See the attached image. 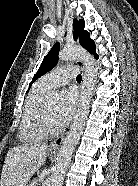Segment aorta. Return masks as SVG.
<instances>
[{
    "mask_svg": "<svg viewBox=\"0 0 138 186\" xmlns=\"http://www.w3.org/2000/svg\"><path fill=\"white\" fill-rule=\"evenodd\" d=\"M59 60H81L84 64L85 73L81 86L77 113L59 151L55 169L51 175V186H62L66 170L72 157V153L86 124L98 75V67L94 57H92L86 50L81 47H65L59 52ZM57 98L58 97L56 94L52 95V99L56 100Z\"/></svg>",
    "mask_w": 138,
    "mask_h": 186,
    "instance_id": "obj_1",
    "label": "aorta"
}]
</instances>
